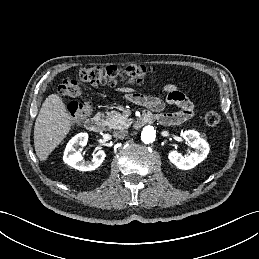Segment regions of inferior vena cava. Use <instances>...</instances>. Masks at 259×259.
Listing matches in <instances>:
<instances>
[{"mask_svg":"<svg viewBox=\"0 0 259 259\" xmlns=\"http://www.w3.org/2000/svg\"><path fill=\"white\" fill-rule=\"evenodd\" d=\"M127 134H128L127 130L120 129V130H117V131L114 132V137L118 138V139H122L125 136H127Z\"/></svg>","mask_w":259,"mask_h":259,"instance_id":"1","label":"inferior vena cava"}]
</instances>
